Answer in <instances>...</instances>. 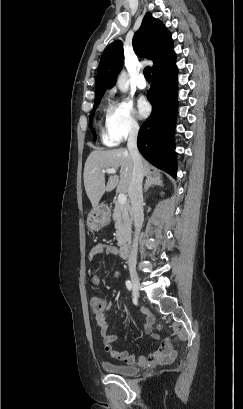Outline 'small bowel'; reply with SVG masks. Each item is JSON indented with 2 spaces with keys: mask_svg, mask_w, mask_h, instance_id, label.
<instances>
[{
  "mask_svg": "<svg viewBox=\"0 0 243 409\" xmlns=\"http://www.w3.org/2000/svg\"><path fill=\"white\" fill-rule=\"evenodd\" d=\"M117 253L118 250L115 246L110 244L98 243L90 251L88 255V260L89 262H94L97 255L100 254L115 255ZM115 278L121 279V275L119 273H116ZM91 280L93 284L98 285L101 283L102 278L100 275L94 274ZM102 300L104 303V308L102 311L94 313V319L96 325L100 329L104 348L113 358L122 360L128 364L139 363L141 365L154 363L167 365L175 360L177 356V349L174 346L173 342L168 338H164L160 341L158 349L150 352L147 356H140L138 358L135 357L133 354L128 353L127 351L114 349L113 343L117 340V336L108 333V318L105 313V308H107L110 302H108L105 299ZM143 311L146 315L144 323V332L152 334L154 330V316L148 309H144ZM154 337L157 338L156 335H154Z\"/></svg>",
  "mask_w": 243,
  "mask_h": 409,
  "instance_id": "c3829d8e",
  "label": "small bowel"
}]
</instances>
